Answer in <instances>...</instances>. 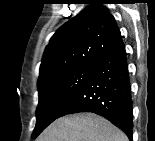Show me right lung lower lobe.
<instances>
[{"label":"right lung lower lobe","mask_w":155,"mask_h":141,"mask_svg":"<svg viewBox=\"0 0 155 141\" xmlns=\"http://www.w3.org/2000/svg\"><path fill=\"white\" fill-rule=\"evenodd\" d=\"M78 112H93L107 118L132 140L131 85L122 38L101 58L59 117Z\"/></svg>","instance_id":"right-lung-lower-lobe-1"}]
</instances>
